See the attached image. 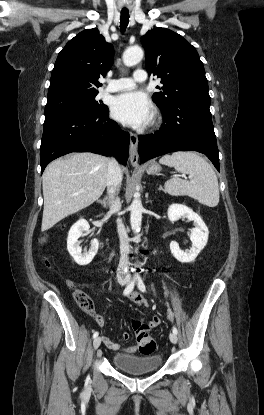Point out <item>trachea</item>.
Instances as JSON below:
<instances>
[{"label": "trachea", "instance_id": "obj_1", "mask_svg": "<svg viewBox=\"0 0 264 415\" xmlns=\"http://www.w3.org/2000/svg\"><path fill=\"white\" fill-rule=\"evenodd\" d=\"M129 23V13L122 12L120 17V29L121 31H125Z\"/></svg>", "mask_w": 264, "mask_h": 415}]
</instances>
